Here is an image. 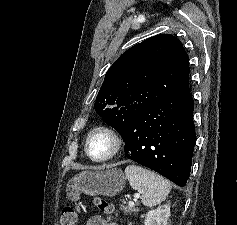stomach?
I'll return each instance as SVG.
<instances>
[{"instance_id":"obj_1","label":"stomach","mask_w":237,"mask_h":225,"mask_svg":"<svg viewBox=\"0 0 237 225\" xmlns=\"http://www.w3.org/2000/svg\"><path fill=\"white\" fill-rule=\"evenodd\" d=\"M125 180L126 177L119 168H110L104 171H82L68 182L67 197L72 201L78 200L81 193L90 196L113 197L123 190Z\"/></svg>"}]
</instances>
